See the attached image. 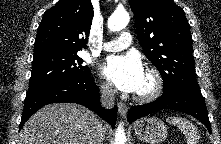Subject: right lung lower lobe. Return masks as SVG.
<instances>
[{"label":"right lung lower lobe","mask_w":221,"mask_h":144,"mask_svg":"<svg viewBox=\"0 0 221 144\" xmlns=\"http://www.w3.org/2000/svg\"><path fill=\"white\" fill-rule=\"evenodd\" d=\"M60 102H71L84 105L97 112L112 127L117 118V107L104 109L99 103V91L93 77L84 81L62 80L49 83L26 95L20 129L25 122L41 107Z\"/></svg>","instance_id":"98d812e1"}]
</instances>
